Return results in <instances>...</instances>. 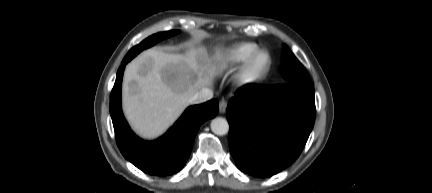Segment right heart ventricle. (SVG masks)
Here are the masks:
<instances>
[{"label": "right heart ventricle", "instance_id": "1", "mask_svg": "<svg viewBox=\"0 0 432 193\" xmlns=\"http://www.w3.org/2000/svg\"><path fill=\"white\" fill-rule=\"evenodd\" d=\"M253 42H242L225 49L218 56L216 67L220 71H231L242 65L256 50Z\"/></svg>", "mask_w": 432, "mask_h": 193}]
</instances>
